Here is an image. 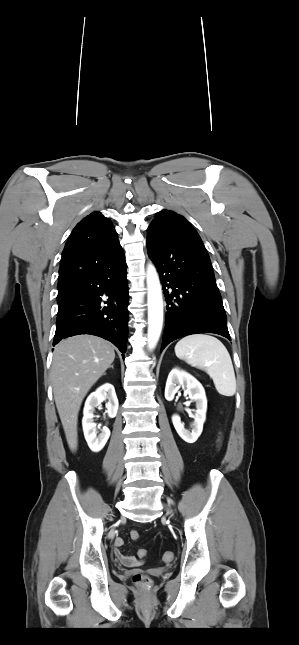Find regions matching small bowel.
I'll use <instances>...</instances> for the list:
<instances>
[{"label": "small bowel", "mask_w": 299, "mask_h": 645, "mask_svg": "<svg viewBox=\"0 0 299 645\" xmlns=\"http://www.w3.org/2000/svg\"><path fill=\"white\" fill-rule=\"evenodd\" d=\"M124 545V540L122 537H117L114 541V546H115V557L116 559L123 565L125 566H136L138 565L141 561L139 558L133 556V555H127L124 554L121 551V547Z\"/></svg>", "instance_id": "c3829d8e"}]
</instances>
